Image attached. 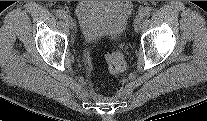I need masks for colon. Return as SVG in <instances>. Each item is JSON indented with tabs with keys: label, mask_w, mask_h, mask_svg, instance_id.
I'll use <instances>...</instances> for the list:
<instances>
[{
	"label": "colon",
	"mask_w": 207,
	"mask_h": 121,
	"mask_svg": "<svg viewBox=\"0 0 207 121\" xmlns=\"http://www.w3.org/2000/svg\"><path fill=\"white\" fill-rule=\"evenodd\" d=\"M108 69L113 74H119L124 71L126 62L124 55L120 50H112L106 54Z\"/></svg>",
	"instance_id": "obj_1"
}]
</instances>
